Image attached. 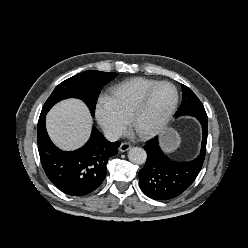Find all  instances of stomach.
Instances as JSON below:
<instances>
[{"label": "stomach", "instance_id": "obj_1", "mask_svg": "<svg viewBox=\"0 0 248 248\" xmlns=\"http://www.w3.org/2000/svg\"><path fill=\"white\" fill-rule=\"evenodd\" d=\"M181 139L179 134L172 128L166 129L161 134V146L167 153L176 150L180 145Z\"/></svg>", "mask_w": 248, "mask_h": 248}]
</instances>
